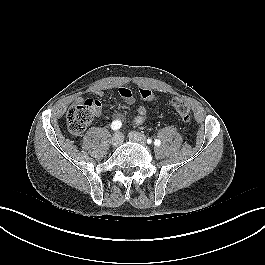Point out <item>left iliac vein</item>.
<instances>
[{"label": "left iliac vein", "instance_id": "4c4485c4", "mask_svg": "<svg viewBox=\"0 0 265 265\" xmlns=\"http://www.w3.org/2000/svg\"><path fill=\"white\" fill-rule=\"evenodd\" d=\"M131 141L144 145L146 143V137L142 133L132 131L129 133Z\"/></svg>", "mask_w": 265, "mask_h": 265}]
</instances>
